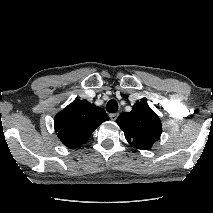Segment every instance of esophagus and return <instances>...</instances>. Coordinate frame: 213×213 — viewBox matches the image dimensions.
<instances>
[{
  "instance_id": "34e87169",
  "label": "esophagus",
  "mask_w": 213,
  "mask_h": 213,
  "mask_svg": "<svg viewBox=\"0 0 213 213\" xmlns=\"http://www.w3.org/2000/svg\"><path fill=\"white\" fill-rule=\"evenodd\" d=\"M109 117L111 120L115 121L118 117V113H111V114H109Z\"/></svg>"
}]
</instances>
